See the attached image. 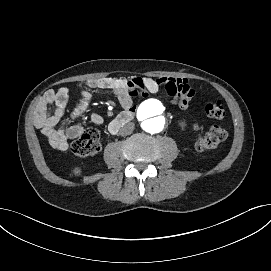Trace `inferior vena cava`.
I'll return each instance as SVG.
<instances>
[{"mask_svg": "<svg viewBox=\"0 0 271 271\" xmlns=\"http://www.w3.org/2000/svg\"><path fill=\"white\" fill-rule=\"evenodd\" d=\"M128 127H131V125H130V124L125 125L124 128H123V130H124V129H127ZM129 130H130V129H129ZM130 131H131V130H130ZM122 133H123V134H126V132H122Z\"/></svg>", "mask_w": 271, "mask_h": 271, "instance_id": "obj_1", "label": "inferior vena cava"}]
</instances>
